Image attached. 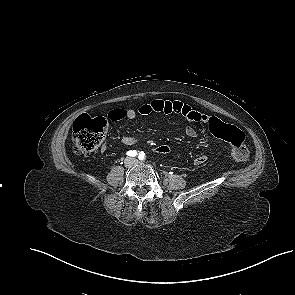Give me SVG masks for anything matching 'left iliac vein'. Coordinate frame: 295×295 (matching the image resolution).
<instances>
[{"label":"left iliac vein","instance_id":"1","mask_svg":"<svg viewBox=\"0 0 295 295\" xmlns=\"http://www.w3.org/2000/svg\"><path fill=\"white\" fill-rule=\"evenodd\" d=\"M134 163H138V161L136 159L133 160Z\"/></svg>","mask_w":295,"mask_h":295}]
</instances>
